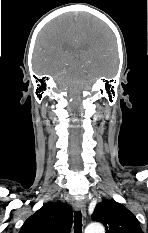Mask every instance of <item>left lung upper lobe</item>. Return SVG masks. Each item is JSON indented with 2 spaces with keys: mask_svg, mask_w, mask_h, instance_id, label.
Wrapping results in <instances>:
<instances>
[{
  "mask_svg": "<svg viewBox=\"0 0 148 233\" xmlns=\"http://www.w3.org/2000/svg\"><path fill=\"white\" fill-rule=\"evenodd\" d=\"M92 220L103 223L106 233H143L135 215L115 200L98 203Z\"/></svg>",
  "mask_w": 148,
  "mask_h": 233,
  "instance_id": "obj_1",
  "label": "left lung upper lobe"
}]
</instances>
